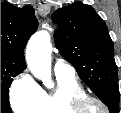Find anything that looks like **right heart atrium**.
<instances>
[{
    "label": "right heart atrium",
    "instance_id": "1",
    "mask_svg": "<svg viewBox=\"0 0 121 113\" xmlns=\"http://www.w3.org/2000/svg\"><path fill=\"white\" fill-rule=\"evenodd\" d=\"M38 85L27 74H20L16 77L10 87L9 97L10 103L14 109H17L21 104L32 103L38 93Z\"/></svg>",
    "mask_w": 121,
    "mask_h": 113
}]
</instances>
